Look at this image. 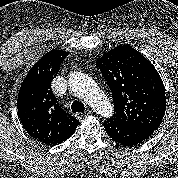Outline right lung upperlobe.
I'll return each mask as SVG.
<instances>
[{
  "instance_id": "1",
  "label": "right lung upper lobe",
  "mask_w": 178,
  "mask_h": 178,
  "mask_svg": "<svg viewBox=\"0 0 178 178\" xmlns=\"http://www.w3.org/2000/svg\"><path fill=\"white\" fill-rule=\"evenodd\" d=\"M68 53L51 50L28 72L17 99L20 121L27 133L46 145H57L76 130L78 121L59 105L51 89L61 62Z\"/></svg>"
}]
</instances>
